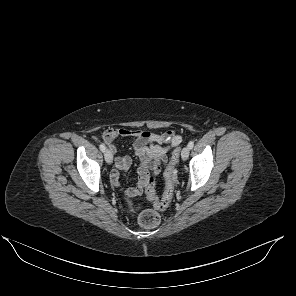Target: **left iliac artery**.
<instances>
[{
    "instance_id": "left-iliac-artery-1",
    "label": "left iliac artery",
    "mask_w": 296,
    "mask_h": 296,
    "mask_svg": "<svg viewBox=\"0 0 296 296\" xmlns=\"http://www.w3.org/2000/svg\"><path fill=\"white\" fill-rule=\"evenodd\" d=\"M188 147H189V149H192L194 147V142L193 141H190L188 143Z\"/></svg>"
}]
</instances>
